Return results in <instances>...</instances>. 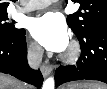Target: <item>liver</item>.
Here are the masks:
<instances>
[{
	"instance_id": "obj_1",
	"label": "liver",
	"mask_w": 107,
	"mask_h": 89,
	"mask_svg": "<svg viewBox=\"0 0 107 89\" xmlns=\"http://www.w3.org/2000/svg\"><path fill=\"white\" fill-rule=\"evenodd\" d=\"M97 84L100 83H90L81 86L86 87L87 89H93V87H95ZM27 87L28 86L24 85L17 79H14L8 75L1 74L0 76V89H28Z\"/></svg>"
}]
</instances>
